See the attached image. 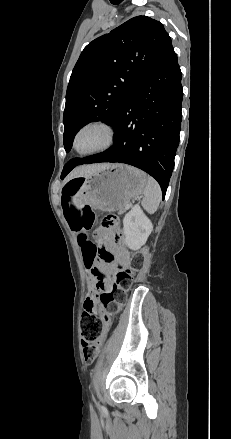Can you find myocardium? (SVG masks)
I'll return each mask as SVG.
<instances>
[{"mask_svg":"<svg viewBox=\"0 0 231 439\" xmlns=\"http://www.w3.org/2000/svg\"><path fill=\"white\" fill-rule=\"evenodd\" d=\"M89 129H96V130L102 132L103 141L96 148H93L90 150H81L78 147V139L83 132H85ZM115 141H116L115 128L105 120L93 119V120H89V121L83 123L82 125H80L77 128V130L75 131L73 138H72V149L78 155L92 156V155H97V154H100V153H103V152L109 150L115 144Z\"/></svg>","mask_w":231,"mask_h":439,"instance_id":"obj_1","label":"myocardium"}]
</instances>
